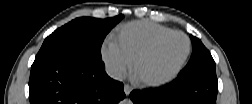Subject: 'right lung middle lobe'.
Segmentation results:
<instances>
[{"instance_id":"right-lung-middle-lobe-1","label":"right lung middle lobe","mask_w":252,"mask_h":104,"mask_svg":"<svg viewBox=\"0 0 252 104\" xmlns=\"http://www.w3.org/2000/svg\"><path fill=\"white\" fill-rule=\"evenodd\" d=\"M123 18L80 17L49 35L35 60L59 53L77 52L101 60V46L110 30Z\"/></svg>"}]
</instances>
